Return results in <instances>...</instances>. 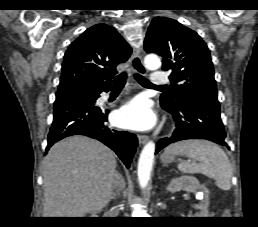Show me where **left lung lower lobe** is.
Here are the masks:
<instances>
[{
    "mask_svg": "<svg viewBox=\"0 0 258 227\" xmlns=\"http://www.w3.org/2000/svg\"><path fill=\"white\" fill-rule=\"evenodd\" d=\"M161 105L172 114L176 129L171 137L158 141L156 153L171 143L185 139H207L228 147L217 97L195 95L176 106Z\"/></svg>",
    "mask_w": 258,
    "mask_h": 227,
    "instance_id": "1",
    "label": "left lung lower lobe"
}]
</instances>
